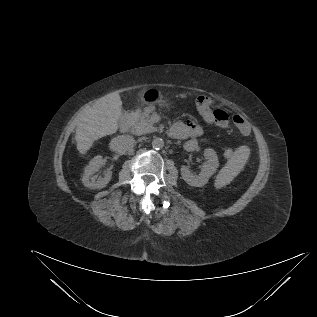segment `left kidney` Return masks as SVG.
Here are the masks:
<instances>
[{"instance_id":"left-kidney-1","label":"left kidney","mask_w":317,"mask_h":317,"mask_svg":"<svg viewBox=\"0 0 317 317\" xmlns=\"http://www.w3.org/2000/svg\"><path fill=\"white\" fill-rule=\"evenodd\" d=\"M204 156L207 161L204 163L203 168L198 175L193 174L185 165L181 167V176L187 184L195 187H202L208 182L209 178L216 172L219 166V161L216 152L211 148H207L204 150Z\"/></svg>"}]
</instances>
